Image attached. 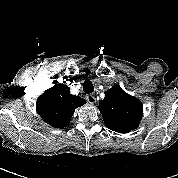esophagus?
Instances as JSON below:
<instances>
[{"label": "esophagus", "instance_id": "obj_1", "mask_svg": "<svg viewBox=\"0 0 178 178\" xmlns=\"http://www.w3.org/2000/svg\"><path fill=\"white\" fill-rule=\"evenodd\" d=\"M86 99H87V101H88L90 104L96 103V97H95L93 94L87 95V96H86Z\"/></svg>", "mask_w": 178, "mask_h": 178}]
</instances>
